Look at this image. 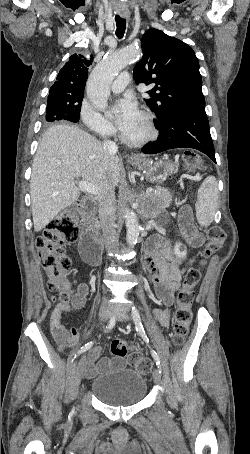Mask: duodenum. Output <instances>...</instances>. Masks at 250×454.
<instances>
[{"mask_svg":"<svg viewBox=\"0 0 250 454\" xmlns=\"http://www.w3.org/2000/svg\"><path fill=\"white\" fill-rule=\"evenodd\" d=\"M94 206L88 205L83 209V231L80 241V251L82 259L89 265H99L101 262L100 239L94 225Z\"/></svg>","mask_w":250,"mask_h":454,"instance_id":"duodenum-1","label":"duodenum"}]
</instances>
